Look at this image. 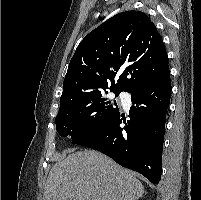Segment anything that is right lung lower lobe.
I'll return each instance as SVG.
<instances>
[{"label":"right lung lower lobe","instance_id":"obj_1","mask_svg":"<svg viewBox=\"0 0 201 200\" xmlns=\"http://www.w3.org/2000/svg\"><path fill=\"white\" fill-rule=\"evenodd\" d=\"M131 93L130 120L119 110L99 128L72 141L96 149L123 167L157 185L162 173L166 112L170 103V71L136 87ZM125 123L124 127L120 125Z\"/></svg>","mask_w":201,"mask_h":200}]
</instances>
